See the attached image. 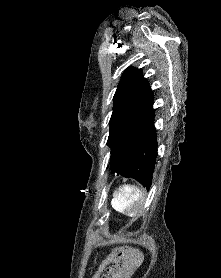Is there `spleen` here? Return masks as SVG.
I'll list each match as a JSON object with an SVG mask.
<instances>
[{"label":"spleen","instance_id":"spleen-1","mask_svg":"<svg viewBox=\"0 0 221 278\" xmlns=\"http://www.w3.org/2000/svg\"><path fill=\"white\" fill-rule=\"evenodd\" d=\"M142 197L141 191L131 185H123L118 191H115L112 199V207L123 214H129L133 204Z\"/></svg>","mask_w":221,"mask_h":278}]
</instances>
